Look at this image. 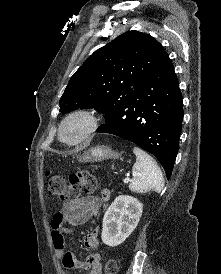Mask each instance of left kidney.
Instances as JSON below:
<instances>
[{
	"label": "left kidney",
	"mask_w": 221,
	"mask_h": 274,
	"mask_svg": "<svg viewBox=\"0 0 221 274\" xmlns=\"http://www.w3.org/2000/svg\"><path fill=\"white\" fill-rule=\"evenodd\" d=\"M142 211L143 204L136 198L128 195L116 197L103 218V243L110 247L123 243L137 227Z\"/></svg>",
	"instance_id": "left-kidney-1"
}]
</instances>
